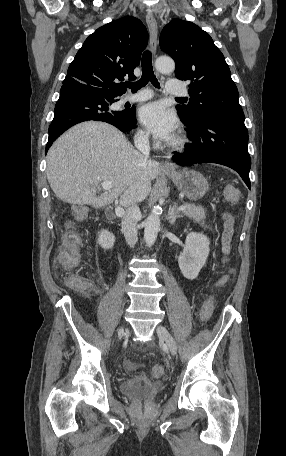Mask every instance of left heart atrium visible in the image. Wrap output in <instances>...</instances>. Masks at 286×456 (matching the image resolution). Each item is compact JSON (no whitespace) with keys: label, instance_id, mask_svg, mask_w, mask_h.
Masks as SVG:
<instances>
[{"label":"left heart atrium","instance_id":"left-heart-atrium-1","mask_svg":"<svg viewBox=\"0 0 286 456\" xmlns=\"http://www.w3.org/2000/svg\"><path fill=\"white\" fill-rule=\"evenodd\" d=\"M139 119L155 138L165 142L173 140L178 126L177 119L163 103L144 105L140 109Z\"/></svg>","mask_w":286,"mask_h":456}]
</instances>
